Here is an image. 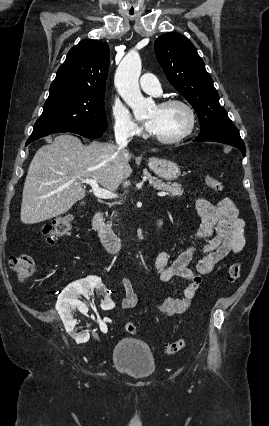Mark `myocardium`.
<instances>
[{"label":"myocardium","mask_w":269,"mask_h":426,"mask_svg":"<svg viewBox=\"0 0 269 426\" xmlns=\"http://www.w3.org/2000/svg\"><path fill=\"white\" fill-rule=\"evenodd\" d=\"M173 105H177V106H181L182 108H184L188 114L189 117V123L187 128L180 133L179 135L172 137V138H163V137H159L156 136L154 134H152L149 130H148V136L161 143V144H167V145H172V144H177L182 142L183 140H185L187 137H189L192 132L194 131L196 124H197V117H196V113L194 111V109L192 108V106L187 103L184 100L181 99H176V98H172V99H166L163 100L161 102L158 103L159 107H167V106H173Z\"/></svg>","instance_id":"1"}]
</instances>
